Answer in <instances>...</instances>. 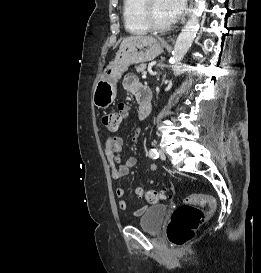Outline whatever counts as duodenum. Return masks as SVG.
<instances>
[{
    "instance_id": "410a0bca",
    "label": "duodenum",
    "mask_w": 261,
    "mask_h": 273,
    "mask_svg": "<svg viewBox=\"0 0 261 273\" xmlns=\"http://www.w3.org/2000/svg\"><path fill=\"white\" fill-rule=\"evenodd\" d=\"M151 93L149 90L144 89L143 95L139 98V119H145L151 111Z\"/></svg>"
}]
</instances>
